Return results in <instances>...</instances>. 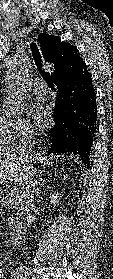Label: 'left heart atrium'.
<instances>
[{
  "label": "left heart atrium",
  "mask_w": 113,
  "mask_h": 279,
  "mask_svg": "<svg viewBox=\"0 0 113 279\" xmlns=\"http://www.w3.org/2000/svg\"><path fill=\"white\" fill-rule=\"evenodd\" d=\"M31 115L38 125L43 126L50 119V109L44 102L37 101L31 109Z\"/></svg>",
  "instance_id": "1"
}]
</instances>
